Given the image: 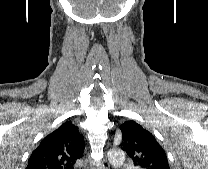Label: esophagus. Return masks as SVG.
<instances>
[{
  "label": "esophagus",
  "instance_id": "34e87169",
  "mask_svg": "<svg viewBox=\"0 0 208 169\" xmlns=\"http://www.w3.org/2000/svg\"><path fill=\"white\" fill-rule=\"evenodd\" d=\"M91 169H96L94 165L90 166ZM98 169H109V163L106 159H104L101 163L98 165Z\"/></svg>",
  "mask_w": 208,
  "mask_h": 169
}]
</instances>
